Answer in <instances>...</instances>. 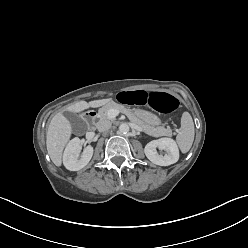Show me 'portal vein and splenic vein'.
Listing matches in <instances>:
<instances>
[{
    "instance_id": "18ae733b",
    "label": "portal vein and splenic vein",
    "mask_w": 248,
    "mask_h": 248,
    "mask_svg": "<svg viewBox=\"0 0 248 248\" xmlns=\"http://www.w3.org/2000/svg\"><path fill=\"white\" fill-rule=\"evenodd\" d=\"M119 113H120V111H118V110H116V109H110V110L108 111V117H109L110 119H113V118H115Z\"/></svg>"
}]
</instances>
